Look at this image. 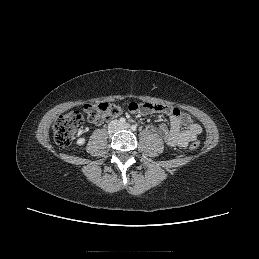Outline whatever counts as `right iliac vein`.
Returning a JSON list of instances; mask_svg holds the SVG:
<instances>
[{
	"label": "right iliac vein",
	"instance_id": "63e3f726",
	"mask_svg": "<svg viewBox=\"0 0 259 259\" xmlns=\"http://www.w3.org/2000/svg\"><path fill=\"white\" fill-rule=\"evenodd\" d=\"M112 127L116 129V128L118 127V123H117V122H114V123L112 124Z\"/></svg>",
	"mask_w": 259,
	"mask_h": 259
}]
</instances>
